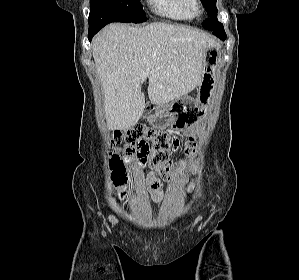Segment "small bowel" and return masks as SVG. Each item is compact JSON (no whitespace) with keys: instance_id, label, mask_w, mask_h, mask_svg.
Returning <instances> with one entry per match:
<instances>
[{"instance_id":"c3829d8e","label":"small bowel","mask_w":299,"mask_h":280,"mask_svg":"<svg viewBox=\"0 0 299 280\" xmlns=\"http://www.w3.org/2000/svg\"><path fill=\"white\" fill-rule=\"evenodd\" d=\"M128 147L125 148V152H128ZM161 174L158 168L152 169L146 176L145 185L151 198L154 202L160 203L164 199V192L162 191ZM195 186V181H191L186 186V191L190 192Z\"/></svg>"}]
</instances>
